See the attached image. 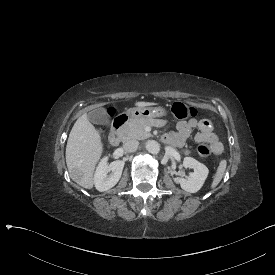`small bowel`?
Masks as SVG:
<instances>
[{"instance_id":"1","label":"small bowel","mask_w":275,"mask_h":275,"mask_svg":"<svg viewBox=\"0 0 275 275\" xmlns=\"http://www.w3.org/2000/svg\"><path fill=\"white\" fill-rule=\"evenodd\" d=\"M193 129H197L195 140L199 143H209L212 146L213 153L219 155L223 151V145L212 131V124L209 120L204 119L200 122L191 120L189 122H179L177 125L178 132L169 136V141L178 144L184 141Z\"/></svg>"}]
</instances>
